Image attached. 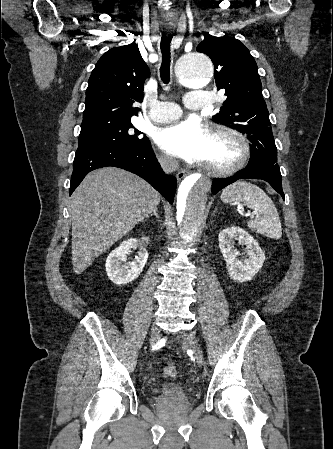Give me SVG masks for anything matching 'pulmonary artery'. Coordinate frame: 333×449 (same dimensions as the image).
I'll return each mask as SVG.
<instances>
[{"label": "pulmonary artery", "instance_id": "pulmonary-artery-1", "mask_svg": "<svg viewBox=\"0 0 333 449\" xmlns=\"http://www.w3.org/2000/svg\"><path fill=\"white\" fill-rule=\"evenodd\" d=\"M185 105L193 110L203 109L212 103L211 95L202 90H193L186 94ZM181 115V108L173 102H154L150 105L148 117L155 122H169Z\"/></svg>", "mask_w": 333, "mask_h": 449}]
</instances>
